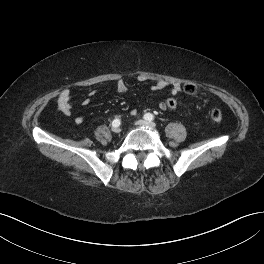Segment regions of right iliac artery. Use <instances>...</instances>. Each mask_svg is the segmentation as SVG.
<instances>
[{
	"label": "right iliac artery",
	"instance_id": "obj_1",
	"mask_svg": "<svg viewBox=\"0 0 264 264\" xmlns=\"http://www.w3.org/2000/svg\"><path fill=\"white\" fill-rule=\"evenodd\" d=\"M120 125V119H114L113 121H112V126L113 127H118Z\"/></svg>",
	"mask_w": 264,
	"mask_h": 264
}]
</instances>
